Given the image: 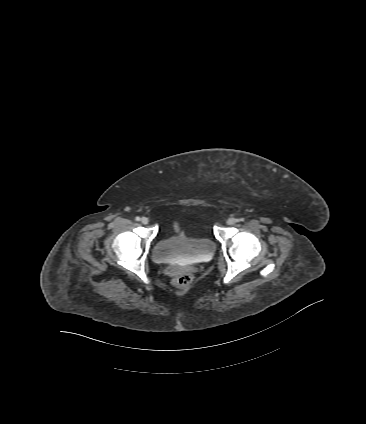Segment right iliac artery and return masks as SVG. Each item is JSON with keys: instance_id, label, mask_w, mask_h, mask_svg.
Wrapping results in <instances>:
<instances>
[{"instance_id": "1", "label": "right iliac artery", "mask_w": 366, "mask_h": 424, "mask_svg": "<svg viewBox=\"0 0 366 424\" xmlns=\"http://www.w3.org/2000/svg\"><path fill=\"white\" fill-rule=\"evenodd\" d=\"M135 220H136V221H140V217H139V216H137V217L135 218Z\"/></svg>"}]
</instances>
